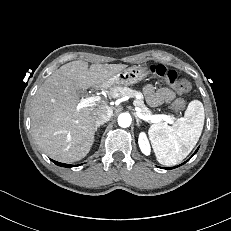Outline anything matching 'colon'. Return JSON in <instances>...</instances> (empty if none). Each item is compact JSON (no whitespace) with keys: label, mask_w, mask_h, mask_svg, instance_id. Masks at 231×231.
<instances>
[{"label":"colon","mask_w":231,"mask_h":231,"mask_svg":"<svg viewBox=\"0 0 231 231\" xmlns=\"http://www.w3.org/2000/svg\"><path fill=\"white\" fill-rule=\"evenodd\" d=\"M150 72L163 78L164 81L174 88L178 93H186L191 89L190 82L185 78H180L175 70L167 69L163 65H153L150 67ZM186 100L183 98H177L172 104V111L175 113L181 112L186 107Z\"/></svg>","instance_id":"5ec220e1"}]
</instances>
